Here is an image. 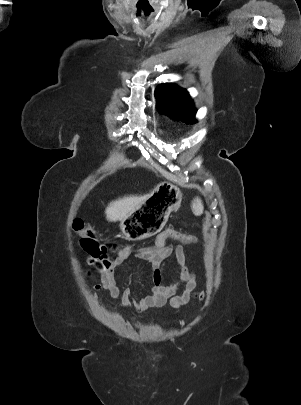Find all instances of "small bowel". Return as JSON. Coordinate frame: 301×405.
I'll use <instances>...</instances> for the list:
<instances>
[{
  "label": "small bowel",
  "mask_w": 301,
  "mask_h": 405,
  "mask_svg": "<svg viewBox=\"0 0 301 405\" xmlns=\"http://www.w3.org/2000/svg\"><path fill=\"white\" fill-rule=\"evenodd\" d=\"M171 236L160 233L156 237L155 245L152 249H139L135 257L146 261L152 271V287L148 294L139 298H134L130 289L121 292L119 284L114 275V269L124 263L132 254L130 247L123 248L116 257H94L81 244L86 253L87 262L95 267L101 275V282L95 286L96 292H108L112 297L120 299V305L127 306L134 302L138 311L143 312L151 308L163 306L167 301L175 309H181L189 300L194 297L197 301H202L203 292H197L195 275L186 261L185 249L179 244H167ZM173 240V239H172ZM175 255L177 261V278L170 284H164L162 280L161 264L164 260ZM184 285V291L178 294L180 287Z\"/></svg>",
  "instance_id": "obj_1"
}]
</instances>
